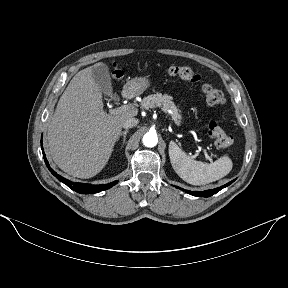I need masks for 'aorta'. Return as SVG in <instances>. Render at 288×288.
<instances>
[{
    "instance_id": "aorta-1",
    "label": "aorta",
    "mask_w": 288,
    "mask_h": 288,
    "mask_svg": "<svg viewBox=\"0 0 288 288\" xmlns=\"http://www.w3.org/2000/svg\"><path fill=\"white\" fill-rule=\"evenodd\" d=\"M143 144L146 147H154L158 142V137L155 133L148 132L143 136Z\"/></svg>"
}]
</instances>
